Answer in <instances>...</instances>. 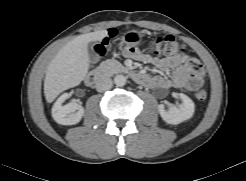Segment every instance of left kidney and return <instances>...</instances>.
Returning a JSON list of instances; mask_svg holds the SVG:
<instances>
[{
    "mask_svg": "<svg viewBox=\"0 0 246 181\" xmlns=\"http://www.w3.org/2000/svg\"><path fill=\"white\" fill-rule=\"evenodd\" d=\"M179 97L182 100V103L179 105V107L172 106L169 109H165L163 104L158 105L160 116L168 124H180L190 119L194 114V102L183 93H179Z\"/></svg>",
    "mask_w": 246,
    "mask_h": 181,
    "instance_id": "obj_1",
    "label": "left kidney"
}]
</instances>
